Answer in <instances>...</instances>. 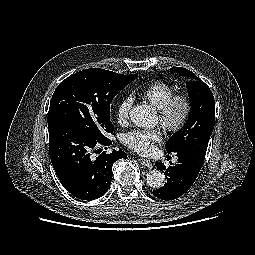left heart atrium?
<instances>
[{
	"instance_id": "1",
	"label": "left heart atrium",
	"mask_w": 255,
	"mask_h": 255,
	"mask_svg": "<svg viewBox=\"0 0 255 255\" xmlns=\"http://www.w3.org/2000/svg\"><path fill=\"white\" fill-rule=\"evenodd\" d=\"M161 139L158 130H132L122 135V142L132 150L147 154L152 151L153 143Z\"/></svg>"
}]
</instances>
